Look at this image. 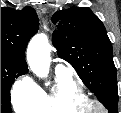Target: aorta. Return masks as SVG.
I'll list each match as a JSON object with an SVG mask.
<instances>
[{
    "mask_svg": "<svg viewBox=\"0 0 121 113\" xmlns=\"http://www.w3.org/2000/svg\"><path fill=\"white\" fill-rule=\"evenodd\" d=\"M50 44L45 34L35 35L27 48V61L38 77H47L50 69Z\"/></svg>",
    "mask_w": 121,
    "mask_h": 113,
    "instance_id": "aorta-1",
    "label": "aorta"
}]
</instances>
